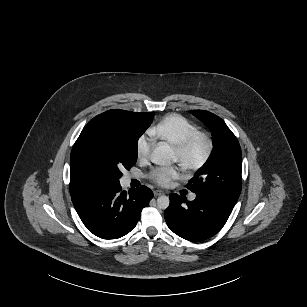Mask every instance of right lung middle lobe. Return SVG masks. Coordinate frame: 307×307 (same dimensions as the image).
Here are the masks:
<instances>
[{
  "instance_id": "1",
  "label": "right lung middle lobe",
  "mask_w": 307,
  "mask_h": 307,
  "mask_svg": "<svg viewBox=\"0 0 307 307\" xmlns=\"http://www.w3.org/2000/svg\"><path fill=\"white\" fill-rule=\"evenodd\" d=\"M150 124L140 123L123 110L94 117L72 148L74 175L89 185L119 184L120 169H130L136 163L138 139Z\"/></svg>"
}]
</instances>
